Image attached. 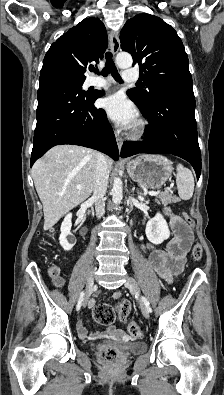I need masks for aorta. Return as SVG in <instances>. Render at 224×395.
I'll list each match as a JSON object with an SVG mask.
<instances>
[{
  "label": "aorta",
  "mask_w": 224,
  "mask_h": 395,
  "mask_svg": "<svg viewBox=\"0 0 224 395\" xmlns=\"http://www.w3.org/2000/svg\"><path fill=\"white\" fill-rule=\"evenodd\" d=\"M133 59L129 53H119L116 56V64L121 69H126L132 66ZM123 185L120 178H115L113 187L111 190L112 201L115 204H119L122 200Z\"/></svg>",
  "instance_id": "762f6f07"
}]
</instances>
